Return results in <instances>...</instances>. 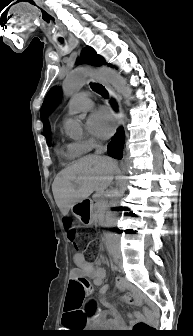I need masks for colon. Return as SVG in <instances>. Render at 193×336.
<instances>
[{"instance_id":"1","label":"colon","mask_w":193,"mask_h":336,"mask_svg":"<svg viewBox=\"0 0 193 336\" xmlns=\"http://www.w3.org/2000/svg\"><path fill=\"white\" fill-rule=\"evenodd\" d=\"M64 227L66 231L67 238L70 242L74 244V246L82 252L92 251L91 244L92 240L88 239L86 236H81L77 227L75 226L74 222L70 218L64 219ZM84 289V296H85V289H90L88 283L85 285L81 284ZM93 303L90 304V308H93ZM153 331V327L147 323L139 322L137 323L131 334L132 336H148Z\"/></svg>"}]
</instances>
